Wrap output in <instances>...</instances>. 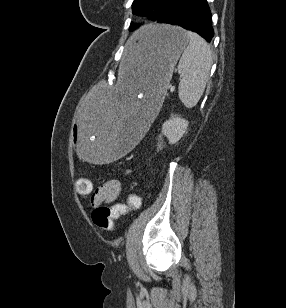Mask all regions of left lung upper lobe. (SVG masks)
Instances as JSON below:
<instances>
[{"mask_svg": "<svg viewBox=\"0 0 286 308\" xmlns=\"http://www.w3.org/2000/svg\"><path fill=\"white\" fill-rule=\"evenodd\" d=\"M171 1L172 0H134L132 10L134 14L147 16L152 20H157ZM138 26V24H131L130 30H134Z\"/></svg>", "mask_w": 286, "mask_h": 308, "instance_id": "obj_1", "label": "left lung upper lobe"}]
</instances>
